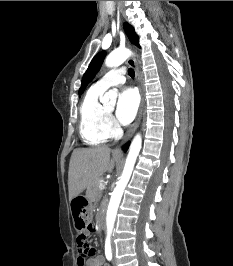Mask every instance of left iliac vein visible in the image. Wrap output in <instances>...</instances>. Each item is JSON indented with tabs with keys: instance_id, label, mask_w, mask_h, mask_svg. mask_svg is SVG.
Segmentation results:
<instances>
[{
	"instance_id": "left-iliac-vein-1",
	"label": "left iliac vein",
	"mask_w": 233,
	"mask_h": 266,
	"mask_svg": "<svg viewBox=\"0 0 233 266\" xmlns=\"http://www.w3.org/2000/svg\"><path fill=\"white\" fill-rule=\"evenodd\" d=\"M113 253H114V248H113ZM113 264H114V266H116V260H115V258L113 260Z\"/></svg>"
}]
</instances>
